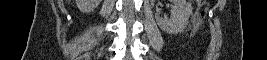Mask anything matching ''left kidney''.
<instances>
[{"label": "left kidney", "instance_id": "obj_1", "mask_svg": "<svg viewBox=\"0 0 267 60\" xmlns=\"http://www.w3.org/2000/svg\"><path fill=\"white\" fill-rule=\"evenodd\" d=\"M173 6L170 11V18L163 19L160 12L155 14L156 22L161 30L169 34L182 31L191 15V5L186 0H172Z\"/></svg>", "mask_w": 267, "mask_h": 60}]
</instances>
